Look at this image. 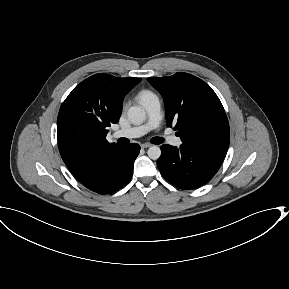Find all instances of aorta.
<instances>
[{"label":"aorta","instance_id":"aorta-1","mask_svg":"<svg viewBox=\"0 0 289 289\" xmlns=\"http://www.w3.org/2000/svg\"><path fill=\"white\" fill-rule=\"evenodd\" d=\"M127 117L130 123L134 125L142 124L146 119V112L140 106H132L128 109ZM147 154L152 160H157L161 156V149L158 146H151Z\"/></svg>","mask_w":289,"mask_h":289}]
</instances>
